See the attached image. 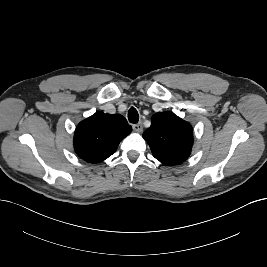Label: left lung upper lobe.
Segmentation results:
<instances>
[{
  "label": "left lung upper lobe",
  "instance_id": "left-lung-upper-lobe-1",
  "mask_svg": "<svg viewBox=\"0 0 267 267\" xmlns=\"http://www.w3.org/2000/svg\"><path fill=\"white\" fill-rule=\"evenodd\" d=\"M153 156L166 165H176L191 154L192 126L171 112L152 116L151 126L143 133Z\"/></svg>",
  "mask_w": 267,
  "mask_h": 267
}]
</instances>
